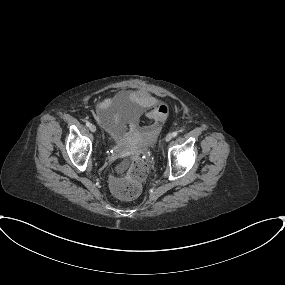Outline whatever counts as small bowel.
Listing matches in <instances>:
<instances>
[{
    "instance_id": "1",
    "label": "small bowel",
    "mask_w": 285,
    "mask_h": 285,
    "mask_svg": "<svg viewBox=\"0 0 285 285\" xmlns=\"http://www.w3.org/2000/svg\"><path fill=\"white\" fill-rule=\"evenodd\" d=\"M142 105L146 107L151 115L149 122L153 125L167 120L170 110L166 105H160L159 100L144 94L140 99ZM100 125L114 139V152L119 157L126 154V149L133 143L132 135L138 127L136 118L126 120L123 113L114 109L112 100H105L99 105L97 117Z\"/></svg>"
}]
</instances>
